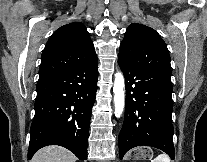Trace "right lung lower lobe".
Listing matches in <instances>:
<instances>
[{
    "instance_id": "98d812e1",
    "label": "right lung lower lobe",
    "mask_w": 207,
    "mask_h": 162,
    "mask_svg": "<svg viewBox=\"0 0 207 162\" xmlns=\"http://www.w3.org/2000/svg\"><path fill=\"white\" fill-rule=\"evenodd\" d=\"M98 61L39 78L28 160L40 148L57 144L86 160L91 111L95 102Z\"/></svg>"
}]
</instances>
